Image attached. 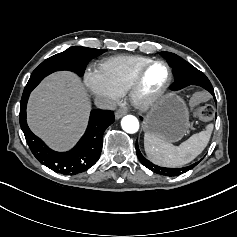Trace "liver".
Segmentation results:
<instances>
[{"label":"liver","mask_w":237,"mask_h":237,"mask_svg":"<svg viewBox=\"0 0 237 237\" xmlns=\"http://www.w3.org/2000/svg\"><path fill=\"white\" fill-rule=\"evenodd\" d=\"M91 102L81 79L62 71L47 76L31 93L27 123L56 151H67L84 132Z\"/></svg>","instance_id":"6515ba94"}]
</instances>
